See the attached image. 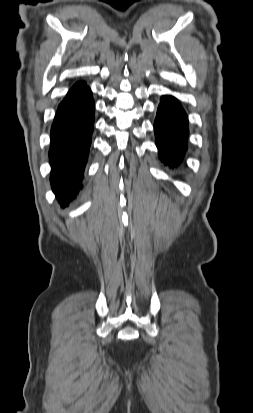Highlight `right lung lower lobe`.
Here are the masks:
<instances>
[{
    "label": "right lung lower lobe",
    "mask_w": 253,
    "mask_h": 413,
    "mask_svg": "<svg viewBox=\"0 0 253 413\" xmlns=\"http://www.w3.org/2000/svg\"><path fill=\"white\" fill-rule=\"evenodd\" d=\"M94 100L84 86L58 106L51 128L49 151L51 184L62 207L68 206L82 187L94 125Z\"/></svg>",
    "instance_id": "1"
}]
</instances>
